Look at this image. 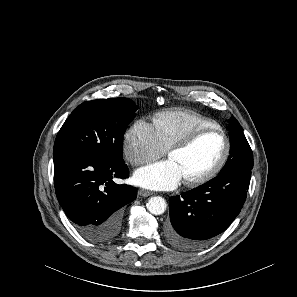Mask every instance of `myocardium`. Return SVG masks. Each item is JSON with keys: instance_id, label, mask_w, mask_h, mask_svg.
<instances>
[{"instance_id": "obj_1", "label": "myocardium", "mask_w": 297, "mask_h": 297, "mask_svg": "<svg viewBox=\"0 0 297 297\" xmlns=\"http://www.w3.org/2000/svg\"><path fill=\"white\" fill-rule=\"evenodd\" d=\"M209 133H216L222 138L224 143L223 153L218 162L206 173L195 178L185 179L184 183L188 186H198L207 183L222 170L230 155V141L227 134L218 126L197 128L172 144L167 151V155L170 156L176 151H181L190 147L198 138Z\"/></svg>"}]
</instances>
